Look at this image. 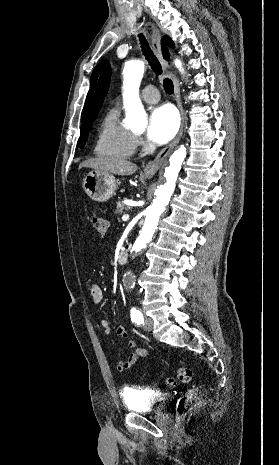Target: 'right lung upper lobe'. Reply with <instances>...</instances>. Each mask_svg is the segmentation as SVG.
Returning <instances> with one entry per match:
<instances>
[{"instance_id":"1","label":"right lung upper lobe","mask_w":279,"mask_h":465,"mask_svg":"<svg viewBox=\"0 0 279 465\" xmlns=\"http://www.w3.org/2000/svg\"><path fill=\"white\" fill-rule=\"evenodd\" d=\"M162 49H163L164 58L166 60H169V53H168V50H167L164 42H162ZM110 77H111L110 65L106 64V66H105V68H104V70H103V72L101 74L100 80H99L98 85H97L96 92L94 94L91 106L89 108V111H88V114H87V116L85 118V121H84V123H83V125L81 127V130H85L86 128L91 126L93 121L95 120L99 110L101 109L104 98L106 96V93H107V90H108V87H109V83H110Z\"/></svg>"}]
</instances>
